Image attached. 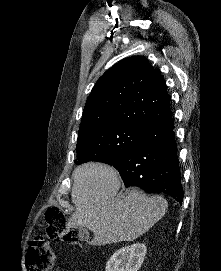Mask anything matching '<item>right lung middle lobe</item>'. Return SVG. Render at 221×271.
<instances>
[{
  "label": "right lung middle lobe",
  "mask_w": 221,
  "mask_h": 271,
  "mask_svg": "<svg viewBox=\"0 0 221 271\" xmlns=\"http://www.w3.org/2000/svg\"><path fill=\"white\" fill-rule=\"evenodd\" d=\"M146 129L117 125L78 137L76 151L80 165L89 161L113 164L126 155L141 139Z\"/></svg>",
  "instance_id": "dd1d6c3e"
}]
</instances>
